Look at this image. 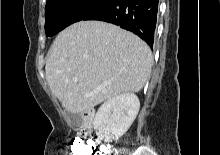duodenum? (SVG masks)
Returning a JSON list of instances; mask_svg holds the SVG:
<instances>
[{"label": "duodenum", "mask_w": 220, "mask_h": 155, "mask_svg": "<svg viewBox=\"0 0 220 155\" xmlns=\"http://www.w3.org/2000/svg\"><path fill=\"white\" fill-rule=\"evenodd\" d=\"M94 118L93 110H86L81 115V133L83 136H87L92 129Z\"/></svg>", "instance_id": "duodenum-1"}]
</instances>
